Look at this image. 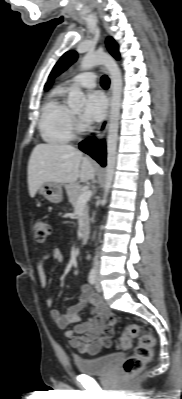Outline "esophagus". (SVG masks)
Returning <instances> with one entry per match:
<instances>
[{
	"label": "esophagus",
	"mask_w": 182,
	"mask_h": 399,
	"mask_svg": "<svg viewBox=\"0 0 182 399\" xmlns=\"http://www.w3.org/2000/svg\"><path fill=\"white\" fill-rule=\"evenodd\" d=\"M107 98H108L107 110L105 112L103 120L101 121V123L98 126L97 130L95 131V135H94L97 140H100L105 136L108 125H109V113H110V106H111V86L107 92Z\"/></svg>",
	"instance_id": "1"
}]
</instances>
